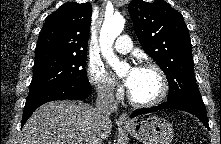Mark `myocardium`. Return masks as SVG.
Instances as JSON below:
<instances>
[{
  "label": "myocardium",
  "mask_w": 221,
  "mask_h": 144,
  "mask_svg": "<svg viewBox=\"0 0 221 144\" xmlns=\"http://www.w3.org/2000/svg\"><path fill=\"white\" fill-rule=\"evenodd\" d=\"M138 69H152L158 74L160 83H161L160 92L152 100L140 101L134 98V96L131 94L129 90L127 93L129 102L132 105L137 106V107H153V106L160 104L166 98L168 91H169V83H168V79H167L165 72L158 64L154 62H144L140 64Z\"/></svg>",
  "instance_id": "myocardium-1"
}]
</instances>
